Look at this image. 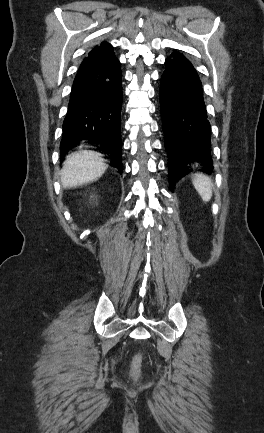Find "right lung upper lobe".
Instances as JSON below:
<instances>
[{"mask_svg": "<svg viewBox=\"0 0 264 433\" xmlns=\"http://www.w3.org/2000/svg\"><path fill=\"white\" fill-rule=\"evenodd\" d=\"M93 51H98L102 54L114 55L113 47L106 41L102 42L100 45L96 46Z\"/></svg>", "mask_w": 264, "mask_h": 433, "instance_id": "1", "label": "right lung upper lobe"}]
</instances>
